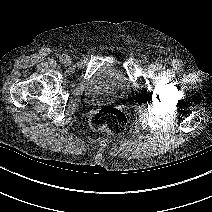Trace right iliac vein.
Instances as JSON below:
<instances>
[{
    "instance_id": "63e3f726",
    "label": "right iliac vein",
    "mask_w": 212,
    "mask_h": 212,
    "mask_svg": "<svg viewBox=\"0 0 212 212\" xmlns=\"http://www.w3.org/2000/svg\"><path fill=\"white\" fill-rule=\"evenodd\" d=\"M64 63L67 65L71 64V58L69 56H66Z\"/></svg>"
}]
</instances>
